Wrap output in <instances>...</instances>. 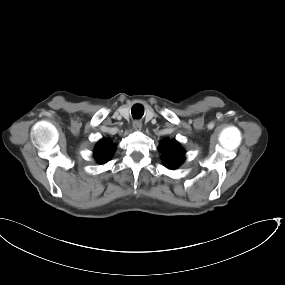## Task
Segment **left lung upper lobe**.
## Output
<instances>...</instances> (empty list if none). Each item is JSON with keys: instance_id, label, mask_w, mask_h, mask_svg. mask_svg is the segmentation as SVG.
<instances>
[{"instance_id": "obj_1", "label": "left lung upper lobe", "mask_w": 285, "mask_h": 285, "mask_svg": "<svg viewBox=\"0 0 285 285\" xmlns=\"http://www.w3.org/2000/svg\"><path fill=\"white\" fill-rule=\"evenodd\" d=\"M159 151L162 153L164 166L168 169H175L184 161L185 151L181 148L176 140L166 139L159 146Z\"/></svg>"}]
</instances>
